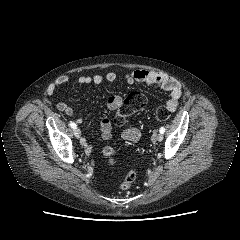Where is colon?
Returning a JSON list of instances; mask_svg holds the SVG:
<instances>
[{"label":"colon","mask_w":240,"mask_h":240,"mask_svg":"<svg viewBox=\"0 0 240 240\" xmlns=\"http://www.w3.org/2000/svg\"><path fill=\"white\" fill-rule=\"evenodd\" d=\"M146 96L140 91L131 92L124 100L122 106L118 109L115 116V123L122 125L125 122L126 117L146 105ZM156 116L159 120H167L170 117V111L167 107L160 106L156 109ZM103 155L110 164L114 163L115 148L112 144H108L103 149ZM136 179V172L134 169H129L123 177L120 184L122 190H128Z\"/></svg>","instance_id":"obj_1"}]
</instances>
